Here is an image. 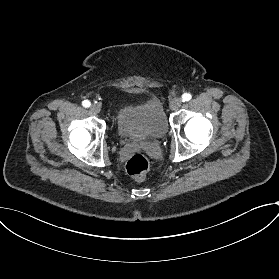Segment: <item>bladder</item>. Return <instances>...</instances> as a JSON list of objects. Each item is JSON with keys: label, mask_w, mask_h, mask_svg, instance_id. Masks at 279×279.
I'll return each instance as SVG.
<instances>
[{"label": "bladder", "mask_w": 279, "mask_h": 279, "mask_svg": "<svg viewBox=\"0 0 279 279\" xmlns=\"http://www.w3.org/2000/svg\"><path fill=\"white\" fill-rule=\"evenodd\" d=\"M114 122L120 137L129 142L159 139L169 126L160 99L152 93L142 94L134 104H118Z\"/></svg>", "instance_id": "31cf9c89"}]
</instances>
